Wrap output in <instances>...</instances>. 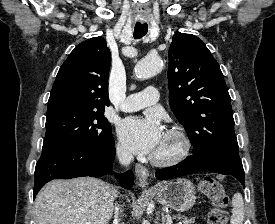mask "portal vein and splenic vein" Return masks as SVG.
Segmentation results:
<instances>
[{
    "mask_svg": "<svg viewBox=\"0 0 275 224\" xmlns=\"http://www.w3.org/2000/svg\"><path fill=\"white\" fill-rule=\"evenodd\" d=\"M87 224H90V223H87ZM168 224H170V223H168ZM178 224H182L181 222H179Z\"/></svg>",
    "mask_w": 275,
    "mask_h": 224,
    "instance_id": "1",
    "label": "portal vein and splenic vein"
}]
</instances>
